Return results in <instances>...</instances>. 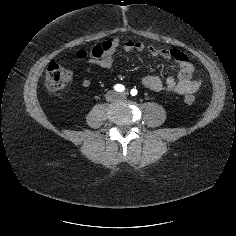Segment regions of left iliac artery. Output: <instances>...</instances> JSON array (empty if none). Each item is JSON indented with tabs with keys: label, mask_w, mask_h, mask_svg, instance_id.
Segmentation results:
<instances>
[{
	"label": "left iliac artery",
	"mask_w": 236,
	"mask_h": 236,
	"mask_svg": "<svg viewBox=\"0 0 236 236\" xmlns=\"http://www.w3.org/2000/svg\"><path fill=\"white\" fill-rule=\"evenodd\" d=\"M130 94L132 96H136L137 95V90L136 89H131Z\"/></svg>",
	"instance_id": "44dca946"
}]
</instances>
